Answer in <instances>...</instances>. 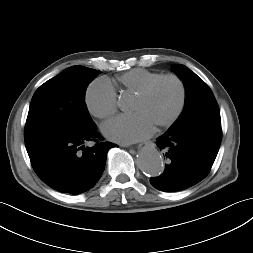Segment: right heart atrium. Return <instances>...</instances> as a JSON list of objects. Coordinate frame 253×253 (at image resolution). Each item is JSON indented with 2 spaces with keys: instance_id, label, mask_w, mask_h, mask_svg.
Segmentation results:
<instances>
[{
  "instance_id": "right-heart-atrium-1",
  "label": "right heart atrium",
  "mask_w": 253,
  "mask_h": 253,
  "mask_svg": "<svg viewBox=\"0 0 253 253\" xmlns=\"http://www.w3.org/2000/svg\"><path fill=\"white\" fill-rule=\"evenodd\" d=\"M85 104L91 115L107 119L117 111L116 91L109 81L98 78L86 89Z\"/></svg>"
}]
</instances>
